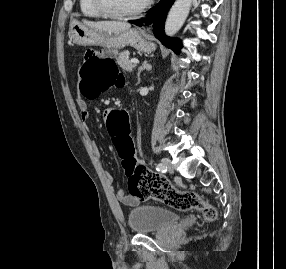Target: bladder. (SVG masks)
<instances>
[{
  "instance_id": "1",
  "label": "bladder",
  "mask_w": 286,
  "mask_h": 269,
  "mask_svg": "<svg viewBox=\"0 0 286 269\" xmlns=\"http://www.w3.org/2000/svg\"><path fill=\"white\" fill-rule=\"evenodd\" d=\"M179 220V215L155 205H142L128 213V224L136 234H148L171 227Z\"/></svg>"
}]
</instances>
